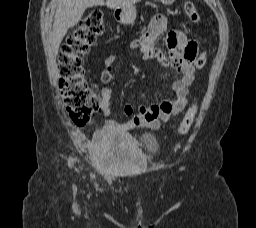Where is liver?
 Returning <instances> with one entry per match:
<instances>
[{
  "label": "liver",
  "instance_id": "obj_1",
  "mask_svg": "<svg viewBox=\"0 0 256 228\" xmlns=\"http://www.w3.org/2000/svg\"><path fill=\"white\" fill-rule=\"evenodd\" d=\"M140 0H57V8L54 16L51 46L57 55L59 46L68 30L75 26L82 18L85 9L93 6L106 5L110 9L130 6Z\"/></svg>",
  "mask_w": 256,
  "mask_h": 228
}]
</instances>
